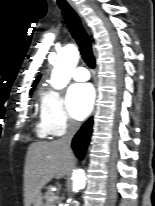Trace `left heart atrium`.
<instances>
[{
  "label": "left heart atrium",
  "instance_id": "39dd6f15",
  "mask_svg": "<svg viewBox=\"0 0 155 206\" xmlns=\"http://www.w3.org/2000/svg\"><path fill=\"white\" fill-rule=\"evenodd\" d=\"M94 89L90 84H74L67 93V103L71 114L77 119L85 118L94 103Z\"/></svg>",
  "mask_w": 155,
  "mask_h": 206
}]
</instances>
